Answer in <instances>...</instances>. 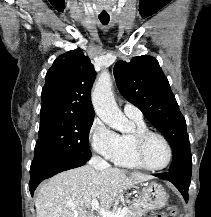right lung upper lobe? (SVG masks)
Returning <instances> with one entry per match:
<instances>
[{"label": "right lung upper lobe", "instance_id": "obj_1", "mask_svg": "<svg viewBox=\"0 0 211 217\" xmlns=\"http://www.w3.org/2000/svg\"><path fill=\"white\" fill-rule=\"evenodd\" d=\"M95 77L90 59L79 49L56 58L42 90L41 119L55 115L94 117L91 88Z\"/></svg>", "mask_w": 211, "mask_h": 217}]
</instances>
